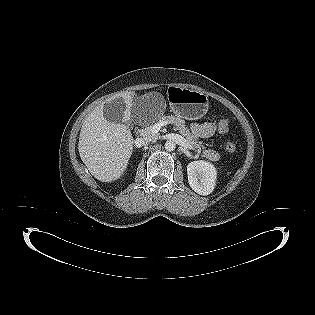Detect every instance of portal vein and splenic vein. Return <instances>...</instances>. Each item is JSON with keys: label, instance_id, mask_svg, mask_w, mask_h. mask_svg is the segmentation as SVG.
<instances>
[{"label": "portal vein and splenic vein", "instance_id": "18ae733b", "mask_svg": "<svg viewBox=\"0 0 315 315\" xmlns=\"http://www.w3.org/2000/svg\"><path fill=\"white\" fill-rule=\"evenodd\" d=\"M164 125H167V122L161 121V122H158V123L154 124L153 127H152V132L153 133H158L160 131L161 127L164 126Z\"/></svg>", "mask_w": 315, "mask_h": 315}]
</instances>
